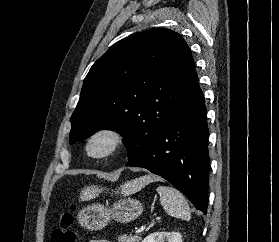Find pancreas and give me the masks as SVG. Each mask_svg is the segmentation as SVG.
Here are the masks:
<instances>
[{
    "instance_id": "1",
    "label": "pancreas",
    "mask_w": 279,
    "mask_h": 242,
    "mask_svg": "<svg viewBox=\"0 0 279 242\" xmlns=\"http://www.w3.org/2000/svg\"><path fill=\"white\" fill-rule=\"evenodd\" d=\"M140 240H141L140 236L120 235L118 237V242H139Z\"/></svg>"
}]
</instances>
